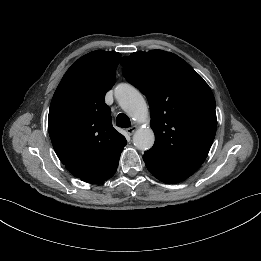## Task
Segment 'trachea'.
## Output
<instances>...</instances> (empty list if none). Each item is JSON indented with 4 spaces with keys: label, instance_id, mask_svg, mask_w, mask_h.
<instances>
[{
    "label": "trachea",
    "instance_id": "3493384b",
    "mask_svg": "<svg viewBox=\"0 0 261 261\" xmlns=\"http://www.w3.org/2000/svg\"><path fill=\"white\" fill-rule=\"evenodd\" d=\"M116 124L118 127H122V128H128L131 126L129 117L124 113L118 114L116 119Z\"/></svg>",
    "mask_w": 261,
    "mask_h": 261
}]
</instances>
